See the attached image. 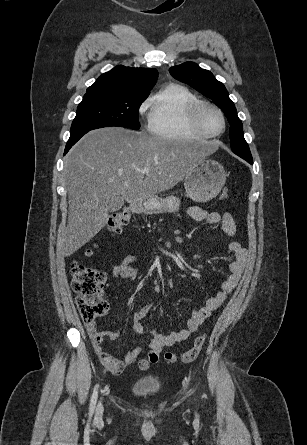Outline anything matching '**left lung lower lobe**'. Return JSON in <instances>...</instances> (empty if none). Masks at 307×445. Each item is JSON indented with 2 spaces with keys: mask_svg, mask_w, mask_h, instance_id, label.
I'll list each match as a JSON object with an SVG mask.
<instances>
[{
  "mask_svg": "<svg viewBox=\"0 0 307 445\" xmlns=\"http://www.w3.org/2000/svg\"><path fill=\"white\" fill-rule=\"evenodd\" d=\"M238 156H240L241 158L245 159L248 163L253 164L252 157H248V156H245V155H238Z\"/></svg>",
  "mask_w": 307,
  "mask_h": 445,
  "instance_id": "obj_1",
  "label": "left lung lower lobe"
}]
</instances>
